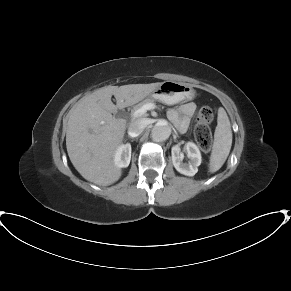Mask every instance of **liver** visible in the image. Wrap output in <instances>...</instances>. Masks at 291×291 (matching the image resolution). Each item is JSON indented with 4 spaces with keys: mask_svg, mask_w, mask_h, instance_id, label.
Returning <instances> with one entry per match:
<instances>
[{
    "mask_svg": "<svg viewBox=\"0 0 291 291\" xmlns=\"http://www.w3.org/2000/svg\"><path fill=\"white\" fill-rule=\"evenodd\" d=\"M160 84L102 87L81 98L70 110L66 148L83 178L100 186L119 180L122 172L114 163V155L123 142L127 121L112 113L143 100ZM112 95L117 105L111 101Z\"/></svg>",
    "mask_w": 291,
    "mask_h": 291,
    "instance_id": "obj_1",
    "label": "liver"
}]
</instances>
